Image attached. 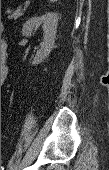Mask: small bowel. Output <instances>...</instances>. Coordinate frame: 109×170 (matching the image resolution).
<instances>
[{
    "mask_svg": "<svg viewBox=\"0 0 109 170\" xmlns=\"http://www.w3.org/2000/svg\"><path fill=\"white\" fill-rule=\"evenodd\" d=\"M1 46L3 48H5L6 47V42L2 41ZM6 75H7V70H6V68H4V71L1 73V80H4L6 78Z\"/></svg>",
    "mask_w": 109,
    "mask_h": 170,
    "instance_id": "obj_1",
    "label": "small bowel"
}]
</instances>
